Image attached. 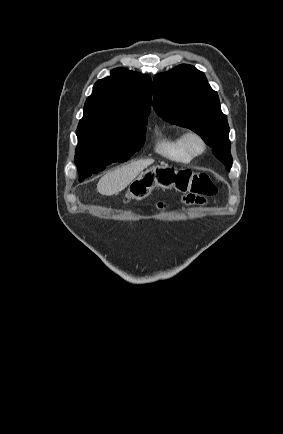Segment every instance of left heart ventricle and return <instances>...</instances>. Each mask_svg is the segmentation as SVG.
<instances>
[{
	"instance_id": "1",
	"label": "left heart ventricle",
	"mask_w": 283,
	"mask_h": 434,
	"mask_svg": "<svg viewBox=\"0 0 283 434\" xmlns=\"http://www.w3.org/2000/svg\"><path fill=\"white\" fill-rule=\"evenodd\" d=\"M192 147L194 148V149H197L198 148V143L196 142V141H192Z\"/></svg>"
}]
</instances>
